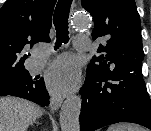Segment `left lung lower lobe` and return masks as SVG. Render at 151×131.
I'll return each instance as SVG.
<instances>
[{"label":"left lung lower lobe","instance_id":"1","mask_svg":"<svg viewBox=\"0 0 151 131\" xmlns=\"http://www.w3.org/2000/svg\"><path fill=\"white\" fill-rule=\"evenodd\" d=\"M142 67L99 78L86 74L80 90V131H94L118 122L137 123L151 129V101Z\"/></svg>","mask_w":151,"mask_h":131}]
</instances>
